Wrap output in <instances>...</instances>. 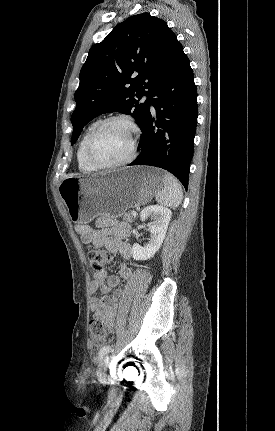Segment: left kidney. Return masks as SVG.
Returning <instances> with one entry per match:
<instances>
[{
  "mask_svg": "<svg viewBox=\"0 0 275 431\" xmlns=\"http://www.w3.org/2000/svg\"><path fill=\"white\" fill-rule=\"evenodd\" d=\"M171 215V210L158 205L147 206L141 211V221H145L149 217L153 218L154 221L149 227L148 244L143 247L135 243L132 246V256L135 260L150 259L159 250L165 238Z\"/></svg>",
  "mask_w": 275,
  "mask_h": 431,
  "instance_id": "left-kidney-1",
  "label": "left kidney"
}]
</instances>
